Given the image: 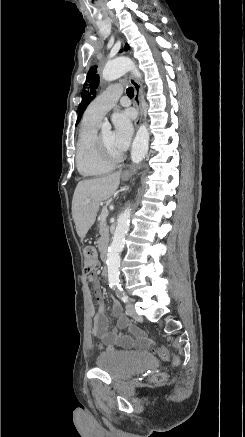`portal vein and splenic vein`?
Instances as JSON below:
<instances>
[{
	"label": "portal vein and splenic vein",
	"instance_id": "1",
	"mask_svg": "<svg viewBox=\"0 0 245 437\" xmlns=\"http://www.w3.org/2000/svg\"><path fill=\"white\" fill-rule=\"evenodd\" d=\"M108 209L107 208H105L104 210H103V213H102V217H103V219L105 220L106 219V217L108 216Z\"/></svg>",
	"mask_w": 245,
	"mask_h": 437
}]
</instances>
